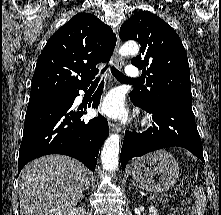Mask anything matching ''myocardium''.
<instances>
[{
	"label": "myocardium",
	"instance_id": "1",
	"mask_svg": "<svg viewBox=\"0 0 221 215\" xmlns=\"http://www.w3.org/2000/svg\"><path fill=\"white\" fill-rule=\"evenodd\" d=\"M147 123H148V121H147V120H145V121L143 122V124H144V125H146Z\"/></svg>",
	"mask_w": 221,
	"mask_h": 215
}]
</instances>
